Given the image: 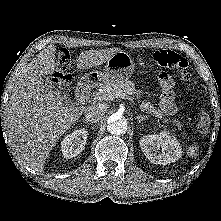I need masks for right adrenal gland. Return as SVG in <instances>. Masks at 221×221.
I'll return each instance as SVG.
<instances>
[{"label": "right adrenal gland", "instance_id": "1", "mask_svg": "<svg viewBox=\"0 0 221 221\" xmlns=\"http://www.w3.org/2000/svg\"><path fill=\"white\" fill-rule=\"evenodd\" d=\"M82 121H83V123L90 125V123L87 120L83 119Z\"/></svg>", "mask_w": 221, "mask_h": 221}]
</instances>
